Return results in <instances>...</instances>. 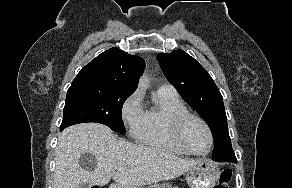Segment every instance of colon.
Here are the masks:
<instances>
[{
    "label": "colon",
    "instance_id": "obj_1",
    "mask_svg": "<svg viewBox=\"0 0 292 188\" xmlns=\"http://www.w3.org/2000/svg\"><path fill=\"white\" fill-rule=\"evenodd\" d=\"M232 178V171L230 169H225L222 171L218 183L214 188H229V184ZM98 188V187H91Z\"/></svg>",
    "mask_w": 292,
    "mask_h": 188
}]
</instances>
